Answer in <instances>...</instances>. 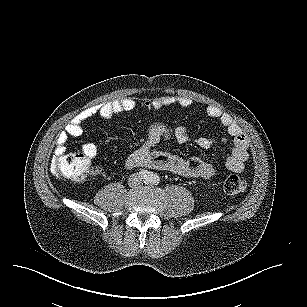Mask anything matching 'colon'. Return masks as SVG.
Here are the masks:
<instances>
[{
    "label": "colon",
    "instance_id": "1",
    "mask_svg": "<svg viewBox=\"0 0 307 307\" xmlns=\"http://www.w3.org/2000/svg\"><path fill=\"white\" fill-rule=\"evenodd\" d=\"M52 172L57 176L73 181H83L96 174L97 170L91 165L89 159L80 152H71L55 156L51 164ZM247 181L237 174H230L223 181V189L227 194L235 195L244 192Z\"/></svg>",
    "mask_w": 307,
    "mask_h": 307
}]
</instances>
